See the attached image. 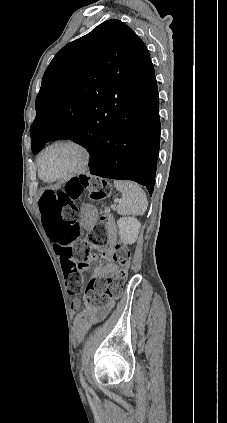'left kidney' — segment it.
Returning <instances> with one entry per match:
<instances>
[{"instance_id": "left-kidney-1", "label": "left kidney", "mask_w": 227, "mask_h": 423, "mask_svg": "<svg viewBox=\"0 0 227 423\" xmlns=\"http://www.w3.org/2000/svg\"><path fill=\"white\" fill-rule=\"evenodd\" d=\"M119 235L123 243H135L140 231L141 223L136 217H120L117 219Z\"/></svg>"}]
</instances>
